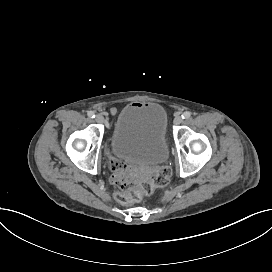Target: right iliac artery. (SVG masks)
<instances>
[{
    "label": "right iliac artery",
    "instance_id": "obj_1",
    "mask_svg": "<svg viewBox=\"0 0 272 272\" xmlns=\"http://www.w3.org/2000/svg\"><path fill=\"white\" fill-rule=\"evenodd\" d=\"M87 115L90 117V118H94L95 117V114L93 111H88Z\"/></svg>",
    "mask_w": 272,
    "mask_h": 272
}]
</instances>
